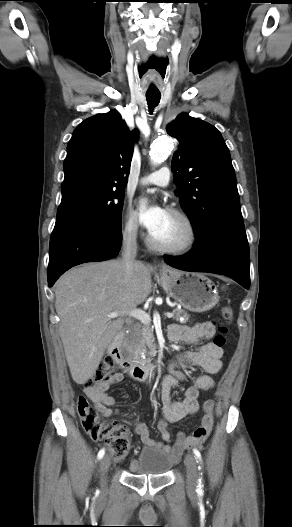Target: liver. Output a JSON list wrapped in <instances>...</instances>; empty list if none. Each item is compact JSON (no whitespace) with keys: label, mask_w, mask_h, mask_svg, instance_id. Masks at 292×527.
I'll return each instance as SVG.
<instances>
[{"label":"liver","mask_w":292,"mask_h":527,"mask_svg":"<svg viewBox=\"0 0 292 527\" xmlns=\"http://www.w3.org/2000/svg\"><path fill=\"white\" fill-rule=\"evenodd\" d=\"M151 291L150 271L141 261H134L129 276L117 259L73 268L58 279L59 334L77 384H85L95 374L126 313L142 304ZM113 312L119 317L111 320L107 315Z\"/></svg>","instance_id":"liver-1"}]
</instances>
